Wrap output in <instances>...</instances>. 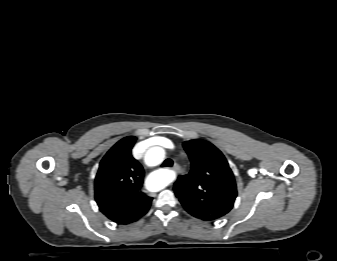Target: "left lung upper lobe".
Wrapping results in <instances>:
<instances>
[{"label":"left lung upper lobe","instance_id":"left-lung-upper-lobe-1","mask_svg":"<svg viewBox=\"0 0 337 261\" xmlns=\"http://www.w3.org/2000/svg\"><path fill=\"white\" fill-rule=\"evenodd\" d=\"M190 161L189 174L174 185L184 209L193 217L213 221L227 214L237 196L234 175L224 155L210 142L201 139L183 143Z\"/></svg>","mask_w":337,"mask_h":261}]
</instances>
